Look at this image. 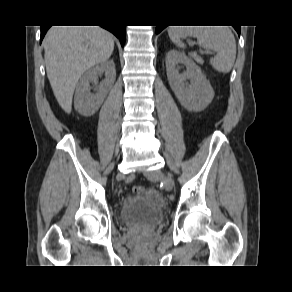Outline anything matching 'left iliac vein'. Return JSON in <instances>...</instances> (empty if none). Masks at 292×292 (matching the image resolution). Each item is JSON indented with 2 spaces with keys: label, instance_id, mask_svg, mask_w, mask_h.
<instances>
[{
  "label": "left iliac vein",
  "instance_id": "obj_1",
  "mask_svg": "<svg viewBox=\"0 0 292 292\" xmlns=\"http://www.w3.org/2000/svg\"><path fill=\"white\" fill-rule=\"evenodd\" d=\"M145 175L151 180H161L167 191H171L173 189L174 181L170 175L164 174L160 170L145 172Z\"/></svg>",
  "mask_w": 292,
  "mask_h": 292
}]
</instances>
